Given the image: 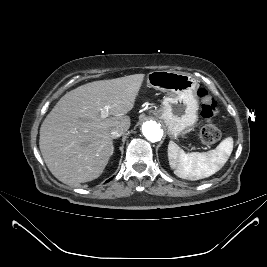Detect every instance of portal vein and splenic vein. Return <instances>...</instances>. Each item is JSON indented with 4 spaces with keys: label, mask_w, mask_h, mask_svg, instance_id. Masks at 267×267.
Here are the masks:
<instances>
[{
    "label": "portal vein and splenic vein",
    "mask_w": 267,
    "mask_h": 267,
    "mask_svg": "<svg viewBox=\"0 0 267 267\" xmlns=\"http://www.w3.org/2000/svg\"><path fill=\"white\" fill-rule=\"evenodd\" d=\"M108 114V108L106 107L105 110L101 111V118H106Z\"/></svg>",
    "instance_id": "18ae733b"
}]
</instances>
